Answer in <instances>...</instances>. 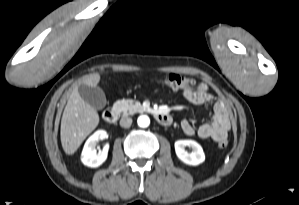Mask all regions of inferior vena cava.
I'll return each mask as SVG.
<instances>
[{"instance_id": "obj_1", "label": "inferior vena cava", "mask_w": 299, "mask_h": 205, "mask_svg": "<svg viewBox=\"0 0 299 205\" xmlns=\"http://www.w3.org/2000/svg\"><path fill=\"white\" fill-rule=\"evenodd\" d=\"M132 124V119L130 117H122L120 120L121 127L129 128Z\"/></svg>"}]
</instances>
